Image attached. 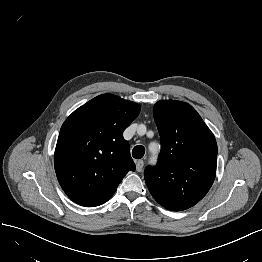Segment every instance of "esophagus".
<instances>
[{
	"label": "esophagus",
	"mask_w": 262,
	"mask_h": 262,
	"mask_svg": "<svg viewBox=\"0 0 262 262\" xmlns=\"http://www.w3.org/2000/svg\"><path fill=\"white\" fill-rule=\"evenodd\" d=\"M144 166V161L143 160H139L136 162V170L138 172H141Z\"/></svg>",
	"instance_id": "1"
}]
</instances>
